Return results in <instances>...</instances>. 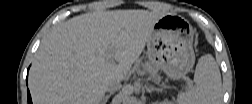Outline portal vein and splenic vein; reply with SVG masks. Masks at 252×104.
Here are the masks:
<instances>
[{
	"label": "portal vein and splenic vein",
	"mask_w": 252,
	"mask_h": 104,
	"mask_svg": "<svg viewBox=\"0 0 252 104\" xmlns=\"http://www.w3.org/2000/svg\"><path fill=\"white\" fill-rule=\"evenodd\" d=\"M188 84L191 85V81H189Z\"/></svg>",
	"instance_id": "obj_1"
}]
</instances>
